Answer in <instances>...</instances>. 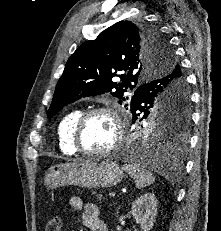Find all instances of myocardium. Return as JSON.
<instances>
[{
  "mask_svg": "<svg viewBox=\"0 0 221 231\" xmlns=\"http://www.w3.org/2000/svg\"><path fill=\"white\" fill-rule=\"evenodd\" d=\"M96 114H105L109 116L114 126L115 138L113 143L104 150L88 151L82 147L81 132L86 121L90 117ZM123 136H124V129L118 110L113 106H97L85 110L84 112L81 113V115L76 120L72 133V145L75 148L76 152L82 155L90 156V157H104L110 155L120 147L123 140Z\"/></svg>",
  "mask_w": 221,
  "mask_h": 231,
  "instance_id": "1",
  "label": "myocardium"
}]
</instances>
